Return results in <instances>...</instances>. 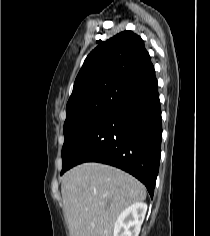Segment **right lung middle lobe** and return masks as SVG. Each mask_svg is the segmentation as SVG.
Wrapping results in <instances>:
<instances>
[{"instance_id":"right-lung-middle-lobe-1","label":"right lung middle lobe","mask_w":210,"mask_h":236,"mask_svg":"<svg viewBox=\"0 0 210 236\" xmlns=\"http://www.w3.org/2000/svg\"><path fill=\"white\" fill-rule=\"evenodd\" d=\"M125 91H108L83 100L66 110L65 141L62 147L63 167L90 130L118 102Z\"/></svg>"}]
</instances>
